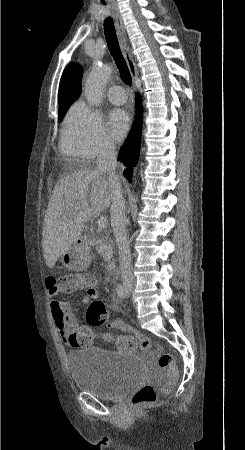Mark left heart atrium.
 Wrapping results in <instances>:
<instances>
[{"label": "left heart atrium", "mask_w": 245, "mask_h": 450, "mask_svg": "<svg viewBox=\"0 0 245 450\" xmlns=\"http://www.w3.org/2000/svg\"><path fill=\"white\" fill-rule=\"evenodd\" d=\"M108 124L113 138L120 141L130 126V115L125 109L115 108L109 113Z\"/></svg>", "instance_id": "1"}]
</instances>
